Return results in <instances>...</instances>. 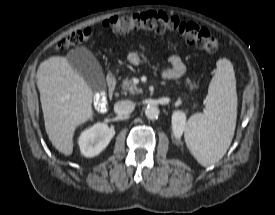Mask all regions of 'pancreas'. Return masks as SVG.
Instances as JSON below:
<instances>
[{
    "label": "pancreas",
    "instance_id": "obj_1",
    "mask_svg": "<svg viewBox=\"0 0 275 215\" xmlns=\"http://www.w3.org/2000/svg\"><path fill=\"white\" fill-rule=\"evenodd\" d=\"M186 85L189 86L190 90L198 89V85L195 82H191L190 79H186ZM121 88L125 92H129L131 94L141 92V90L137 88L136 84L132 81V79H128V78L123 80Z\"/></svg>",
    "mask_w": 275,
    "mask_h": 215
}]
</instances>
